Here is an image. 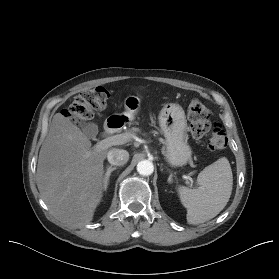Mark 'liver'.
Returning a JSON list of instances; mask_svg holds the SVG:
<instances>
[{"mask_svg": "<svg viewBox=\"0 0 279 279\" xmlns=\"http://www.w3.org/2000/svg\"><path fill=\"white\" fill-rule=\"evenodd\" d=\"M108 148L92 150L89 138L61 113L53 116L41 146L36 182L41 198L71 228L93 219L104 184Z\"/></svg>", "mask_w": 279, "mask_h": 279, "instance_id": "6515ba94", "label": "liver"}]
</instances>
